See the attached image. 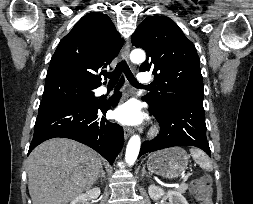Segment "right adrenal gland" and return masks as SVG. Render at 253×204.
<instances>
[{
	"label": "right adrenal gland",
	"instance_id": "2a0ac1e0",
	"mask_svg": "<svg viewBox=\"0 0 253 204\" xmlns=\"http://www.w3.org/2000/svg\"><path fill=\"white\" fill-rule=\"evenodd\" d=\"M99 178H104V179L106 178V174H105L103 168L101 169L100 175H98V177L96 178V181H97Z\"/></svg>",
	"mask_w": 253,
	"mask_h": 204
}]
</instances>
